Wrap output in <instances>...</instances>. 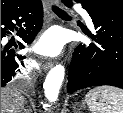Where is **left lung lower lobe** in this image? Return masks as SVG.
<instances>
[{
  "label": "left lung lower lobe",
  "mask_w": 123,
  "mask_h": 113,
  "mask_svg": "<svg viewBox=\"0 0 123 113\" xmlns=\"http://www.w3.org/2000/svg\"><path fill=\"white\" fill-rule=\"evenodd\" d=\"M71 6L72 0H62ZM92 18L95 43L76 47L68 74V93L101 85L123 89V14L93 0L79 2Z\"/></svg>",
  "instance_id": "left-lung-lower-lobe-1"
}]
</instances>
